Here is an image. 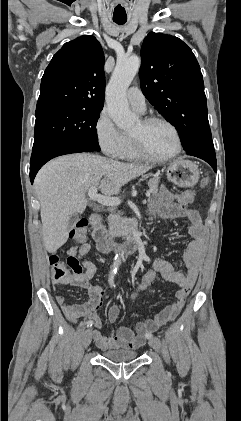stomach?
<instances>
[{"instance_id":"0dacf381","label":"stomach","mask_w":241,"mask_h":421,"mask_svg":"<svg viewBox=\"0 0 241 421\" xmlns=\"http://www.w3.org/2000/svg\"><path fill=\"white\" fill-rule=\"evenodd\" d=\"M167 178L174 184L181 187L195 185L199 180L198 166L184 159L171 162L167 166Z\"/></svg>"}]
</instances>
